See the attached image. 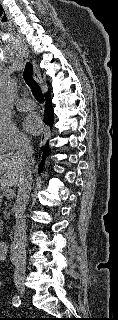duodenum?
<instances>
[{"mask_svg": "<svg viewBox=\"0 0 118 320\" xmlns=\"http://www.w3.org/2000/svg\"><path fill=\"white\" fill-rule=\"evenodd\" d=\"M8 243L6 241H0V259H6L8 253Z\"/></svg>", "mask_w": 118, "mask_h": 320, "instance_id": "410a0bca", "label": "duodenum"}]
</instances>
